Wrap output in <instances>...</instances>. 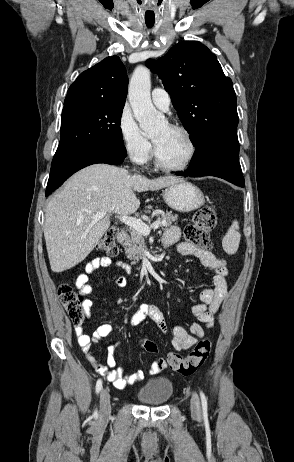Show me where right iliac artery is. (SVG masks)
Wrapping results in <instances>:
<instances>
[{
	"instance_id": "obj_1",
	"label": "right iliac artery",
	"mask_w": 294,
	"mask_h": 462,
	"mask_svg": "<svg viewBox=\"0 0 294 462\" xmlns=\"http://www.w3.org/2000/svg\"><path fill=\"white\" fill-rule=\"evenodd\" d=\"M102 389V380L101 379H98L97 383H96V392L97 394L100 392V390ZM93 416L95 418L98 417V413H97V410L94 412Z\"/></svg>"
}]
</instances>
